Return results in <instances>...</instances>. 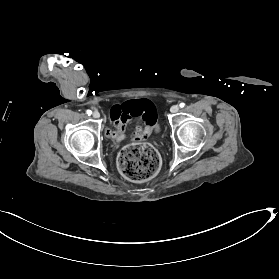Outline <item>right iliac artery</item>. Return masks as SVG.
<instances>
[{"mask_svg":"<svg viewBox=\"0 0 279 279\" xmlns=\"http://www.w3.org/2000/svg\"><path fill=\"white\" fill-rule=\"evenodd\" d=\"M87 114H88V115H91V114H92V111H91V110H87Z\"/></svg>","mask_w":279,"mask_h":279,"instance_id":"82829eb1","label":"right iliac artery"}]
</instances>
